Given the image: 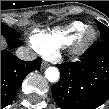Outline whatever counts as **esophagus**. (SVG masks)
Segmentation results:
<instances>
[{
    "label": "esophagus",
    "instance_id": "34e87169",
    "mask_svg": "<svg viewBox=\"0 0 109 109\" xmlns=\"http://www.w3.org/2000/svg\"><path fill=\"white\" fill-rule=\"evenodd\" d=\"M48 66H49V64L47 62H45V61L42 62V65H41L42 69H44Z\"/></svg>",
    "mask_w": 109,
    "mask_h": 109
}]
</instances>
